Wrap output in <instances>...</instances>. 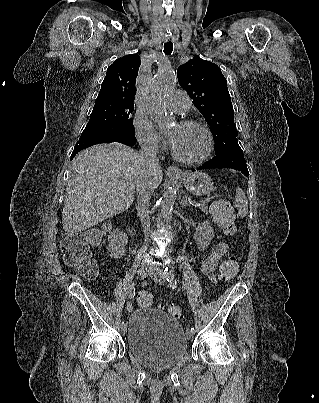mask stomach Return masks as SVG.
<instances>
[{
    "label": "stomach",
    "mask_w": 319,
    "mask_h": 403,
    "mask_svg": "<svg viewBox=\"0 0 319 403\" xmlns=\"http://www.w3.org/2000/svg\"><path fill=\"white\" fill-rule=\"evenodd\" d=\"M180 179L185 188L195 196L209 194L214 188L212 178L205 172L185 173L180 175Z\"/></svg>",
    "instance_id": "0dacf381"
}]
</instances>
